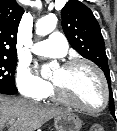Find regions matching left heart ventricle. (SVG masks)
I'll list each match as a JSON object with an SVG mask.
<instances>
[{
    "label": "left heart ventricle",
    "instance_id": "b2bd125f",
    "mask_svg": "<svg viewBox=\"0 0 117 131\" xmlns=\"http://www.w3.org/2000/svg\"><path fill=\"white\" fill-rule=\"evenodd\" d=\"M66 93L89 108H98L103 102V89L96 73L85 65L65 70L58 68L52 77Z\"/></svg>",
    "mask_w": 117,
    "mask_h": 131
}]
</instances>
